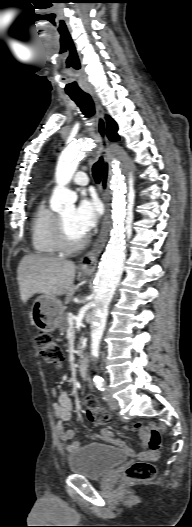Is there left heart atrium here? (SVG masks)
<instances>
[{
	"instance_id": "left-heart-atrium-1",
	"label": "left heart atrium",
	"mask_w": 192,
	"mask_h": 527,
	"mask_svg": "<svg viewBox=\"0 0 192 527\" xmlns=\"http://www.w3.org/2000/svg\"><path fill=\"white\" fill-rule=\"evenodd\" d=\"M100 216L99 204L95 199L84 198L73 213V224L84 236L97 224Z\"/></svg>"
}]
</instances>
